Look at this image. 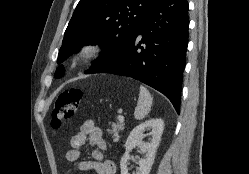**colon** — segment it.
Returning <instances> with one entry per match:
<instances>
[{
    "mask_svg": "<svg viewBox=\"0 0 249 174\" xmlns=\"http://www.w3.org/2000/svg\"><path fill=\"white\" fill-rule=\"evenodd\" d=\"M82 97V90L74 87L67 88L58 95L52 111L51 124L54 128H60L71 120Z\"/></svg>",
    "mask_w": 249,
    "mask_h": 174,
    "instance_id": "1",
    "label": "colon"
}]
</instances>
